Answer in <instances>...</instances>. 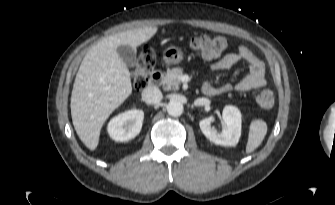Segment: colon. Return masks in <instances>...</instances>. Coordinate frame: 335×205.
<instances>
[{"mask_svg": "<svg viewBox=\"0 0 335 205\" xmlns=\"http://www.w3.org/2000/svg\"><path fill=\"white\" fill-rule=\"evenodd\" d=\"M229 42L225 37L198 36L190 41V47L203 59L219 58L228 48ZM155 54L152 49L144 48L138 57L132 75L133 85L136 89L145 88L150 81V74L155 66ZM257 105L262 109H270L274 105V96L270 90H263L256 97Z\"/></svg>", "mask_w": 335, "mask_h": 205, "instance_id": "5ec220e1", "label": "colon"}]
</instances>
